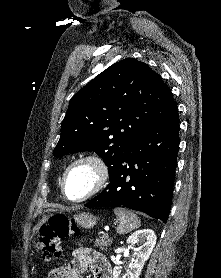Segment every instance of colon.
<instances>
[{"instance_id": "5ec220e1", "label": "colon", "mask_w": 221, "mask_h": 278, "mask_svg": "<svg viewBox=\"0 0 221 278\" xmlns=\"http://www.w3.org/2000/svg\"><path fill=\"white\" fill-rule=\"evenodd\" d=\"M79 232L80 229L74 220L70 221L66 216L57 214L52 216L47 224L41 226L37 246L44 258L51 261L63 254L61 240L71 235H78ZM59 274L60 270L54 268L50 278H55Z\"/></svg>"}]
</instances>
